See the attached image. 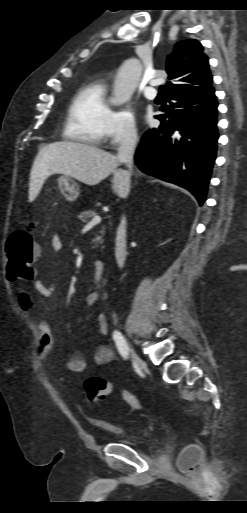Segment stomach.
Listing matches in <instances>:
<instances>
[{"mask_svg":"<svg viewBox=\"0 0 247 513\" xmlns=\"http://www.w3.org/2000/svg\"><path fill=\"white\" fill-rule=\"evenodd\" d=\"M59 188L64 192L67 199L74 200L79 195V185L68 175H62L58 178Z\"/></svg>","mask_w":247,"mask_h":513,"instance_id":"1","label":"stomach"}]
</instances>
